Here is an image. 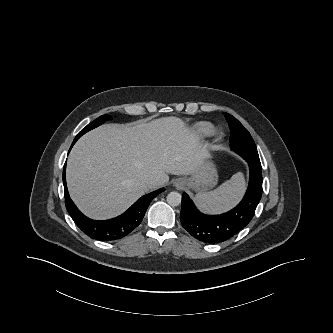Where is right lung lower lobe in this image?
<instances>
[{"label": "right lung lower lobe", "instance_id": "1", "mask_svg": "<svg viewBox=\"0 0 333 333\" xmlns=\"http://www.w3.org/2000/svg\"><path fill=\"white\" fill-rule=\"evenodd\" d=\"M77 140V138L74 139L71 147ZM65 169L66 163L63 169V184L67 211L75 224L86 235L100 241L118 240L128 235L141 223L152 199L165 190L164 188H161L142 196L125 213L116 218L96 221L83 215L71 200L66 185Z\"/></svg>", "mask_w": 333, "mask_h": 333}]
</instances>
